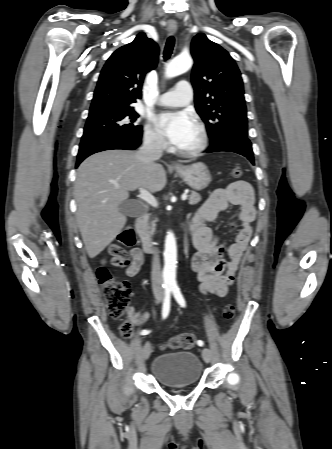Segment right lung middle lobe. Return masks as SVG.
<instances>
[{"instance_id":"right-lung-middle-lobe-1","label":"right lung middle lobe","mask_w":332,"mask_h":449,"mask_svg":"<svg viewBox=\"0 0 332 449\" xmlns=\"http://www.w3.org/2000/svg\"><path fill=\"white\" fill-rule=\"evenodd\" d=\"M138 117L133 108L91 112L81 141L103 136L137 137L142 134L141 127L134 124Z\"/></svg>"}]
</instances>
